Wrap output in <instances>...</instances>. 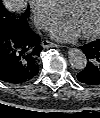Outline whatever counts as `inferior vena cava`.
I'll list each match as a JSON object with an SVG mask.
<instances>
[{"label":"inferior vena cava","instance_id":"1","mask_svg":"<svg viewBox=\"0 0 100 118\" xmlns=\"http://www.w3.org/2000/svg\"><path fill=\"white\" fill-rule=\"evenodd\" d=\"M36 26L39 29H44V28H47L48 22L47 21H44V20H39V21L36 22Z\"/></svg>","mask_w":100,"mask_h":118}]
</instances>
